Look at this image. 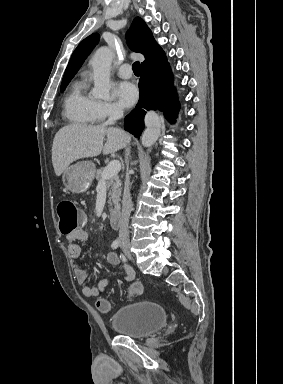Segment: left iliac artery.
<instances>
[{
    "label": "left iliac artery",
    "instance_id": "obj_1",
    "mask_svg": "<svg viewBox=\"0 0 283 384\" xmlns=\"http://www.w3.org/2000/svg\"><path fill=\"white\" fill-rule=\"evenodd\" d=\"M120 258L123 260V261H126V258L123 254L120 255Z\"/></svg>",
    "mask_w": 283,
    "mask_h": 384
}]
</instances>
